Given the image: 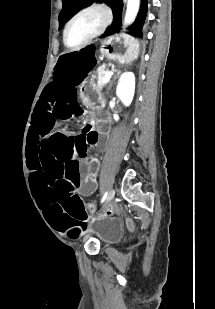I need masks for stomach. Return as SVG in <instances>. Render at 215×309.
I'll return each instance as SVG.
<instances>
[{"label": "stomach", "instance_id": "1", "mask_svg": "<svg viewBox=\"0 0 215 309\" xmlns=\"http://www.w3.org/2000/svg\"><path fill=\"white\" fill-rule=\"evenodd\" d=\"M139 50V42L128 34H116L101 41L100 53L107 60L121 64L134 59ZM95 77L87 79L82 86V95L92 103L102 101L101 88L95 82Z\"/></svg>", "mask_w": 215, "mask_h": 309}]
</instances>
